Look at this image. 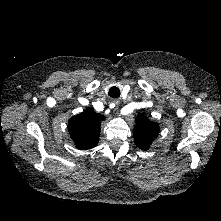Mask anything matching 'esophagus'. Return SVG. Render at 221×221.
I'll list each match as a JSON object with an SVG mask.
<instances>
[{
	"instance_id": "obj_1",
	"label": "esophagus",
	"mask_w": 221,
	"mask_h": 221,
	"mask_svg": "<svg viewBox=\"0 0 221 221\" xmlns=\"http://www.w3.org/2000/svg\"><path fill=\"white\" fill-rule=\"evenodd\" d=\"M113 103H114V105H115V109H114V110H117L118 107H119V104H120V100H119V99H114V100H113Z\"/></svg>"
}]
</instances>
